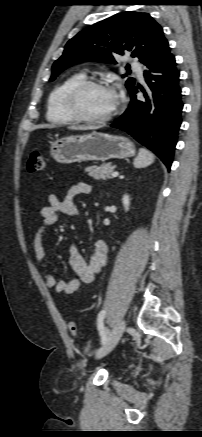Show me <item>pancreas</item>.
<instances>
[{"label":"pancreas","mask_w":202,"mask_h":437,"mask_svg":"<svg viewBox=\"0 0 202 437\" xmlns=\"http://www.w3.org/2000/svg\"><path fill=\"white\" fill-rule=\"evenodd\" d=\"M115 169L110 163L102 164L100 166H91L85 169L88 172L89 176L93 177L96 180H105L112 178V172Z\"/></svg>","instance_id":"pancreas-1"}]
</instances>
